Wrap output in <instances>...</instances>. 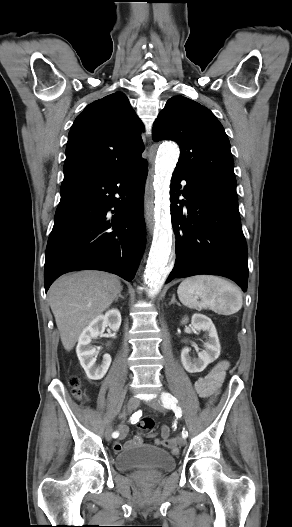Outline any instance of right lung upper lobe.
<instances>
[{"label":"right lung upper lobe","mask_w":292,"mask_h":527,"mask_svg":"<svg viewBox=\"0 0 292 527\" xmlns=\"http://www.w3.org/2000/svg\"><path fill=\"white\" fill-rule=\"evenodd\" d=\"M143 129L123 92L90 103L69 132L64 179L107 176L138 165L144 161Z\"/></svg>","instance_id":"obj_1"}]
</instances>
